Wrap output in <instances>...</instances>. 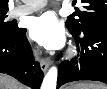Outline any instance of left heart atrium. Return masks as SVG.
<instances>
[{
    "instance_id": "39dd6f15",
    "label": "left heart atrium",
    "mask_w": 107,
    "mask_h": 89,
    "mask_svg": "<svg viewBox=\"0 0 107 89\" xmlns=\"http://www.w3.org/2000/svg\"><path fill=\"white\" fill-rule=\"evenodd\" d=\"M30 36L41 46L51 50L62 48L66 41L61 22L50 11L32 19Z\"/></svg>"
}]
</instances>
